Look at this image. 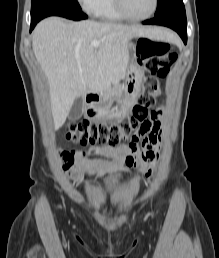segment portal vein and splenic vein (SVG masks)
Returning <instances> with one entry per match:
<instances>
[{
	"label": "portal vein and splenic vein",
	"instance_id": "18ae733b",
	"mask_svg": "<svg viewBox=\"0 0 219 258\" xmlns=\"http://www.w3.org/2000/svg\"><path fill=\"white\" fill-rule=\"evenodd\" d=\"M99 45H100V42H99V41H92V42H91V46L94 47V48H96V49L99 47Z\"/></svg>",
	"mask_w": 219,
	"mask_h": 258
}]
</instances>
